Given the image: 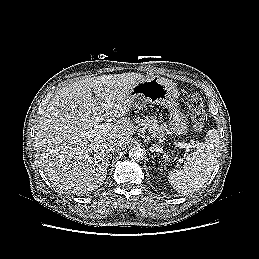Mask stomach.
Masks as SVG:
<instances>
[{"label": "stomach", "instance_id": "stomach-1", "mask_svg": "<svg viewBox=\"0 0 259 259\" xmlns=\"http://www.w3.org/2000/svg\"><path fill=\"white\" fill-rule=\"evenodd\" d=\"M131 107L141 109L146 105H160L168 109L170 115L169 129L166 131L174 135H186L188 121L186 116L179 111L177 99L179 96L175 84L163 77H147L138 82L130 91ZM168 158L167 155L164 156Z\"/></svg>", "mask_w": 259, "mask_h": 259}]
</instances>
